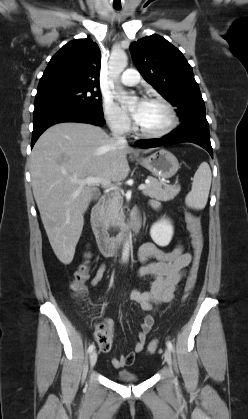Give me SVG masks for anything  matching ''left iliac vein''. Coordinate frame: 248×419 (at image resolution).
Instances as JSON below:
<instances>
[{"label": "left iliac vein", "mask_w": 248, "mask_h": 419, "mask_svg": "<svg viewBox=\"0 0 248 419\" xmlns=\"http://www.w3.org/2000/svg\"><path fill=\"white\" fill-rule=\"evenodd\" d=\"M164 359H165L166 363L168 364V366L171 368L172 367V357H171V352H170L169 349L165 350Z\"/></svg>", "instance_id": "obj_1"}]
</instances>
